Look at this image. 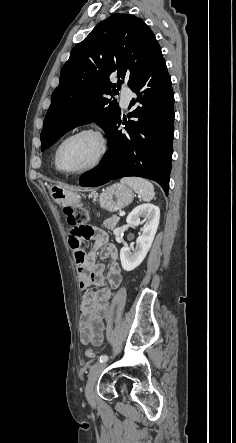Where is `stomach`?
Returning <instances> with one entry per match:
<instances>
[{"label": "stomach", "mask_w": 236, "mask_h": 443, "mask_svg": "<svg viewBox=\"0 0 236 443\" xmlns=\"http://www.w3.org/2000/svg\"><path fill=\"white\" fill-rule=\"evenodd\" d=\"M50 193L53 200L62 206L73 205L79 202L78 194L64 186H53ZM133 198L134 193L127 185L115 183L103 190L99 201L101 208L109 212H116L128 206Z\"/></svg>", "instance_id": "1"}]
</instances>
